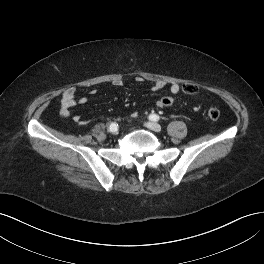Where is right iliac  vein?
<instances>
[{
  "mask_svg": "<svg viewBox=\"0 0 264 264\" xmlns=\"http://www.w3.org/2000/svg\"><path fill=\"white\" fill-rule=\"evenodd\" d=\"M113 135H117L118 134V129H114L112 131H110Z\"/></svg>",
  "mask_w": 264,
  "mask_h": 264,
  "instance_id": "1",
  "label": "right iliac vein"
}]
</instances>
